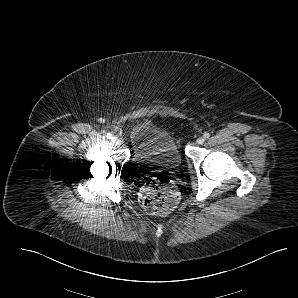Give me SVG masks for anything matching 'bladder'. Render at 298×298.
Here are the masks:
<instances>
[{"label":"bladder","mask_w":298,"mask_h":298,"mask_svg":"<svg viewBox=\"0 0 298 298\" xmlns=\"http://www.w3.org/2000/svg\"><path fill=\"white\" fill-rule=\"evenodd\" d=\"M129 141L137 163L169 170H175L181 164V154L173 137L149 121L135 123L130 130Z\"/></svg>","instance_id":"31cf9c89"}]
</instances>
